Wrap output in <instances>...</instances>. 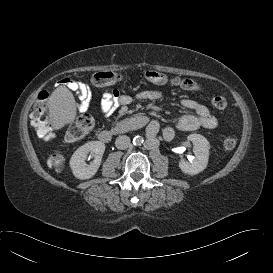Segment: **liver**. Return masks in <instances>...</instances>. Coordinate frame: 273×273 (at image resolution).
Segmentation results:
<instances>
[{"label":"liver","mask_w":273,"mask_h":273,"mask_svg":"<svg viewBox=\"0 0 273 273\" xmlns=\"http://www.w3.org/2000/svg\"><path fill=\"white\" fill-rule=\"evenodd\" d=\"M48 108L50 123L54 130L72 123L77 113L75 98L65 86H59L52 92Z\"/></svg>","instance_id":"liver-1"}]
</instances>
